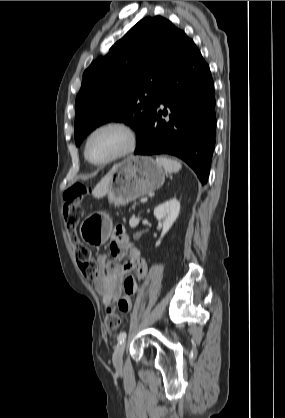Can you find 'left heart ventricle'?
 Instances as JSON below:
<instances>
[{"instance_id": "1", "label": "left heart ventricle", "mask_w": 285, "mask_h": 418, "mask_svg": "<svg viewBox=\"0 0 285 418\" xmlns=\"http://www.w3.org/2000/svg\"><path fill=\"white\" fill-rule=\"evenodd\" d=\"M126 143L125 134L115 128L97 132L87 148L88 156L95 162H101L119 152Z\"/></svg>"}]
</instances>
